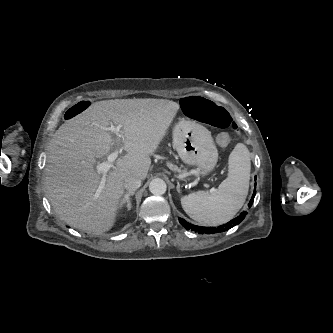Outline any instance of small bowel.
I'll return each mask as SVG.
<instances>
[{"label": "small bowel", "mask_w": 333, "mask_h": 333, "mask_svg": "<svg viewBox=\"0 0 333 333\" xmlns=\"http://www.w3.org/2000/svg\"><path fill=\"white\" fill-rule=\"evenodd\" d=\"M211 141L214 146L224 148L233 144L234 137L230 131L223 130L220 134L214 135Z\"/></svg>", "instance_id": "small-bowel-1"}]
</instances>
